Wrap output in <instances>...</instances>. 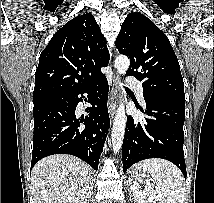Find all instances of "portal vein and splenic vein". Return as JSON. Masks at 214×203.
<instances>
[{"mask_svg":"<svg viewBox=\"0 0 214 203\" xmlns=\"http://www.w3.org/2000/svg\"><path fill=\"white\" fill-rule=\"evenodd\" d=\"M133 191H134V194H135L137 197H139V198H141V199H145V198H146V195H145L142 191L137 190L136 188H134ZM154 198H155V196H154V195H151V197H150L148 200H152V199H154Z\"/></svg>","mask_w":214,"mask_h":203,"instance_id":"18ae733b","label":"portal vein and splenic vein"}]
</instances>
